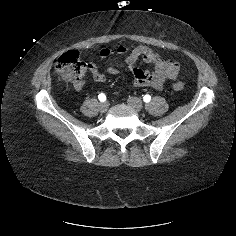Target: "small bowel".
Listing matches in <instances>:
<instances>
[{
	"label": "small bowel",
	"instance_id": "1",
	"mask_svg": "<svg viewBox=\"0 0 236 236\" xmlns=\"http://www.w3.org/2000/svg\"><path fill=\"white\" fill-rule=\"evenodd\" d=\"M114 54L123 55L124 65L133 74V84L137 87H151L155 90H161L165 81L175 80L180 72L179 65L164 57L161 53L149 46H137L130 50L125 45H120L116 49L103 48L100 51L102 57H109ZM142 59L145 63L153 65V70H144L136 67V62ZM89 71L94 81L103 82L107 75H114L119 72V68L111 66L105 71H101L96 63H89ZM81 86L77 87L80 88Z\"/></svg>",
	"mask_w": 236,
	"mask_h": 236
}]
</instances>
